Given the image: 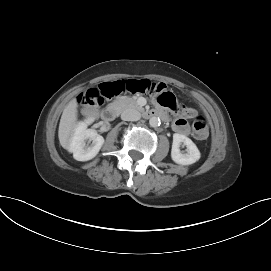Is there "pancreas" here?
Listing matches in <instances>:
<instances>
[{"instance_id":"obj_1","label":"pancreas","mask_w":271,"mask_h":271,"mask_svg":"<svg viewBox=\"0 0 271 271\" xmlns=\"http://www.w3.org/2000/svg\"><path fill=\"white\" fill-rule=\"evenodd\" d=\"M112 105L117 106L120 110H125L127 108H135L138 110H143L138 104L136 99L130 97H120L112 103Z\"/></svg>"}]
</instances>
